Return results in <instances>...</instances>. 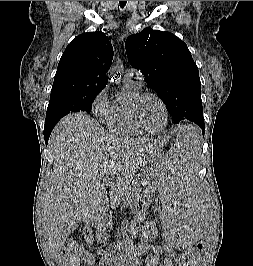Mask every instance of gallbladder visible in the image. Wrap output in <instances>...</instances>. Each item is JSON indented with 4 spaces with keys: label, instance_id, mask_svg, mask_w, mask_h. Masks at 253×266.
I'll return each mask as SVG.
<instances>
[{
    "label": "gallbladder",
    "instance_id": "obj_1",
    "mask_svg": "<svg viewBox=\"0 0 253 266\" xmlns=\"http://www.w3.org/2000/svg\"><path fill=\"white\" fill-rule=\"evenodd\" d=\"M90 230L91 229H90L89 225H86L84 227V229H83V235H84L85 238L87 237L86 233L90 232Z\"/></svg>",
    "mask_w": 253,
    "mask_h": 266
}]
</instances>
